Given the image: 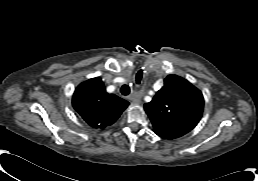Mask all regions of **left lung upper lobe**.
I'll use <instances>...</instances> for the list:
<instances>
[{"label":"left lung upper lobe","instance_id":"obj_1","mask_svg":"<svg viewBox=\"0 0 258 181\" xmlns=\"http://www.w3.org/2000/svg\"><path fill=\"white\" fill-rule=\"evenodd\" d=\"M202 93L190 82L169 75L164 86L151 102L144 105L154 132L165 139H174L192 130L203 112Z\"/></svg>","mask_w":258,"mask_h":181}]
</instances>
